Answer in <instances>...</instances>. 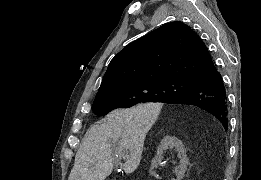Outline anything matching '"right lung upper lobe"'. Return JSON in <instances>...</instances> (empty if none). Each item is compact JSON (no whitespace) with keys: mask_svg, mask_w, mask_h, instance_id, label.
Here are the masks:
<instances>
[{"mask_svg":"<svg viewBox=\"0 0 261 180\" xmlns=\"http://www.w3.org/2000/svg\"><path fill=\"white\" fill-rule=\"evenodd\" d=\"M215 68L199 36L182 22H170L130 43L111 60L96 97L162 80L196 82Z\"/></svg>","mask_w":261,"mask_h":180,"instance_id":"cb5924a9","label":"right lung upper lobe"}]
</instances>
